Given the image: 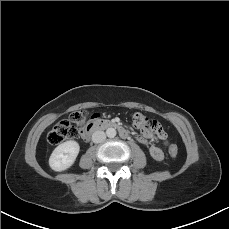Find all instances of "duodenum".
Instances as JSON below:
<instances>
[{"mask_svg": "<svg viewBox=\"0 0 229 229\" xmlns=\"http://www.w3.org/2000/svg\"><path fill=\"white\" fill-rule=\"evenodd\" d=\"M106 128L117 129L123 138L128 137L127 130L122 125L113 121H108L103 119H98L91 122L85 130L84 137L88 139L94 132Z\"/></svg>", "mask_w": 229, "mask_h": 229, "instance_id": "duodenum-1", "label": "duodenum"}]
</instances>
